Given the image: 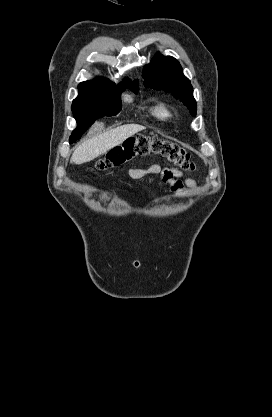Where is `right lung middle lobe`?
Segmentation results:
<instances>
[{
    "label": "right lung middle lobe",
    "instance_id": "right-lung-middle-lobe-1",
    "mask_svg": "<svg viewBox=\"0 0 272 417\" xmlns=\"http://www.w3.org/2000/svg\"><path fill=\"white\" fill-rule=\"evenodd\" d=\"M138 92V88L132 90ZM122 108L119 94H95L81 102L72 104L74 118L77 121V128L70 136V143L78 140L82 134L102 116H113L120 112Z\"/></svg>",
    "mask_w": 272,
    "mask_h": 417
}]
</instances>
